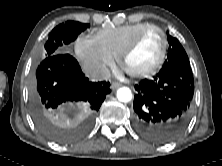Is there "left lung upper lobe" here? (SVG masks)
<instances>
[{"label": "left lung upper lobe", "mask_w": 222, "mask_h": 166, "mask_svg": "<svg viewBox=\"0 0 222 166\" xmlns=\"http://www.w3.org/2000/svg\"><path fill=\"white\" fill-rule=\"evenodd\" d=\"M167 36L169 42L168 59L165 61L163 67L174 64H190L188 56L178 39L170 36L168 33Z\"/></svg>", "instance_id": "5c2ea615"}]
</instances>
